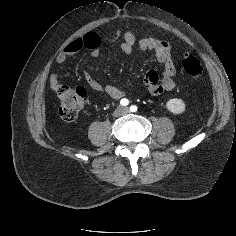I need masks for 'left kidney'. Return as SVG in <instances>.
Returning <instances> with one entry per match:
<instances>
[{"label": "left kidney", "instance_id": "left-kidney-1", "mask_svg": "<svg viewBox=\"0 0 236 236\" xmlns=\"http://www.w3.org/2000/svg\"><path fill=\"white\" fill-rule=\"evenodd\" d=\"M166 107L171 113L177 115L185 111L186 105L182 99L173 98L167 101Z\"/></svg>", "mask_w": 236, "mask_h": 236}]
</instances>
